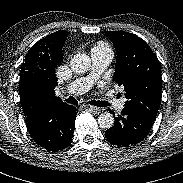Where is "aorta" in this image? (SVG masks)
I'll return each mask as SVG.
<instances>
[{
	"instance_id": "1",
	"label": "aorta",
	"mask_w": 183,
	"mask_h": 183,
	"mask_svg": "<svg viewBox=\"0 0 183 183\" xmlns=\"http://www.w3.org/2000/svg\"><path fill=\"white\" fill-rule=\"evenodd\" d=\"M91 64V59L86 54H76L70 61V67L76 74L86 73ZM98 124L101 128L109 129L114 125V117L111 113H102L98 118Z\"/></svg>"
}]
</instances>
